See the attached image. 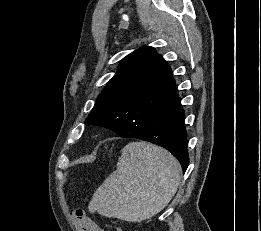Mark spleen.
<instances>
[{
  "label": "spleen",
  "mask_w": 261,
  "mask_h": 231,
  "mask_svg": "<svg viewBox=\"0 0 261 231\" xmlns=\"http://www.w3.org/2000/svg\"><path fill=\"white\" fill-rule=\"evenodd\" d=\"M180 164L166 150L130 142L123 149L117 170L93 194L90 212L140 222L167 206L180 182Z\"/></svg>",
  "instance_id": "1"
}]
</instances>
